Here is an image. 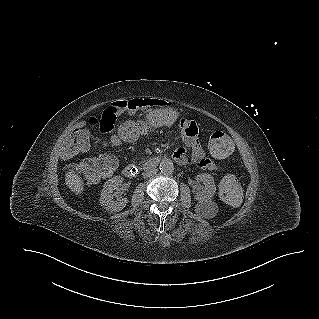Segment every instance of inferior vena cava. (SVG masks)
Instances as JSON below:
<instances>
[{
  "mask_svg": "<svg viewBox=\"0 0 319 319\" xmlns=\"http://www.w3.org/2000/svg\"><path fill=\"white\" fill-rule=\"evenodd\" d=\"M156 173H157V169L153 168V169H150L149 171L143 173V177L144 178H148V177H150V176H152V175H154Z\"/></svg>",
  "mask_w": 319,
  "mask_h": 319,
  "instance_id": "602c4592",
  "label": "inferior vena cava"
}]
</instances>
